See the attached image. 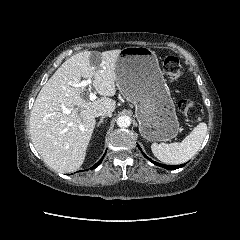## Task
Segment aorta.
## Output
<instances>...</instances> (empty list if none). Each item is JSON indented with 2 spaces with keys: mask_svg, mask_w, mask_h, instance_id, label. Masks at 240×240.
<instances>
[{
  "mask_svg": "<svg viewBox=\"0 0 240 240\" xmlns=\"http://www.w3.org/2000/svg\"><path fill=\"white\" fill-rule=\"evenodd\" d=\"M117 125L121 128H127L131 125V118L127 115L118 117Z\"/></svg>",
  "mask_w": 240,
  "mask_h": 240,
  "instance_id": "aorta-1",
  "label": "aorta"
}]
</instances>
